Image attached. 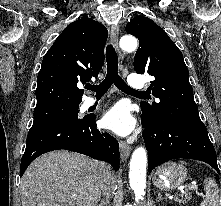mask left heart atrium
<instances>
[{
	"mask_svg": "<svg viewBox=\"0 0 221 206\" xmlns=\"http://www.w3.org/2000/svg\"><path fill=\"white\" fill-rule=\"evenodd\" d=\"M102 125L117 134L126 135L133 130L134 119L127 106L118 103L104 114Z\"/></svg>",
	"mask_w": 221,
	"mask_h": 206,
	"instance_id": "1",
	"label": "left heart atrium"
}]
</instances>
